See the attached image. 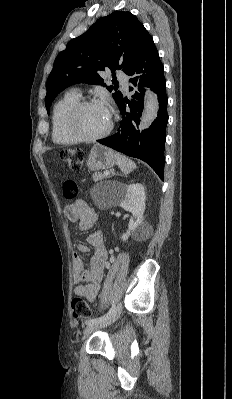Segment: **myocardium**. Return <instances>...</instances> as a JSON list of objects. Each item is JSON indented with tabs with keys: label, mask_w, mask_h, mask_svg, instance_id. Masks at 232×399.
I'll return each instance as SVG.
<instances>
[{
	"label": "myocardium",
	"mask_w": 232,
	"mask_h": 399,
	"mask_svg": "<svg viewBox=\"0 0 232 399\" xmlns=\"http://www.w3.org/2000/svg\"><path fill=\"white\" fill-rule=\"evenodd\" d=\"M99 103L97 100L95 99H89V100H81L78 103H76L72 109L69 111L67 118H66V129L68 134L77 142H83V143H95L98 141H101L105 138H107L111 132L113 131L114 128V121L111 119L109 127L107 128V130L98 135V136H94V137H86L83 136L82 134H80L76 128V120L77 117L79 115V113L88 106L91 105H95Z\"/></svg>",
	"instance_id": "1"
}]
</instances>
